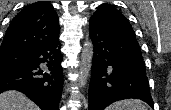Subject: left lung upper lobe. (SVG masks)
<instances>
[{"mask_svg":"<svg viewBox=\"0 0 171 110\" xmlns=\"http://www.w3.org/2000/svg\"><path fill=\"white\" fill-rule=\"evenodd\" d=\"M91 18L100 21L112 33L138 44L128 19L112 5H100Z\"/></svg>","mask_w":171,"mask_h":110,"instance_id":"left-lung-upper-lobe-1","label":"left lung upper lobe"}]
</instances>
